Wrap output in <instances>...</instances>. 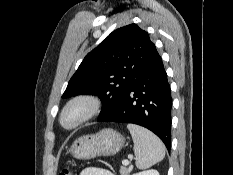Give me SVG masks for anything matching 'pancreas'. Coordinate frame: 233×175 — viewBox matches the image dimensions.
Listing matches in <instances>:
<instances>
[{
    "label": "pancreas",
    "mask_w": 233,
    "mask_h": 175,
    "mask_svg": "<svg viewBox=\"0 0 233 175\" xmlns=\"http://www.w3.org/2000/svg\"><path fill=\"white\" fill-rule=\"evenodd\" d=\"M130 172H131V169L126 168L124 166H122L121 169H120V175H129Z\"/></svg>",
    "instance_id": "cf45deb5"
}]
</instances>
